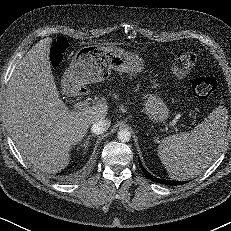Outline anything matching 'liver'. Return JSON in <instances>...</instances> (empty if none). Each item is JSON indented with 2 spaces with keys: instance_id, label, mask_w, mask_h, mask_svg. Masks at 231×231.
<instances>
[{
  "instance_id": "1",
  "label": "liver",
  "mask_w": 231,
  "mask_h": 231,
  "mask_svg": "<svg viewBox=\"0 0 231 231\" xmlns=\"http://www.w3.org/2000/svg\"><path fill=\"white\" fill-rule=\"evenodd\" d=\"M51 38L36 43L16 65L6 93V114L17 149L29 163L57 173L70 151L95 122L105 119L107 103L71 112L59 99L49 61Z\"/></svg>"
}]
</instances>
